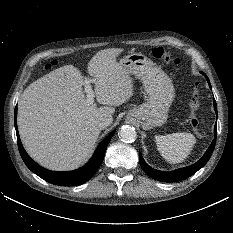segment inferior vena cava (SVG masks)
Segmentation results:
<instances>
[{"label":"inferior vena cava","instance_id":"1","mask_svg":"<svg viewBox=\"0 0 233 233\" xmlns=\"http://www.w3.org/2000/svg\"><path fill=\"white\" fill-rule=\"evenodd\" d=\"M112 121V117L103 116L97 120L96 124L100 129H104L107 126H109L112 123Z\"/></svg>","mask_w":233,"mask_h":233}]
</instances>
